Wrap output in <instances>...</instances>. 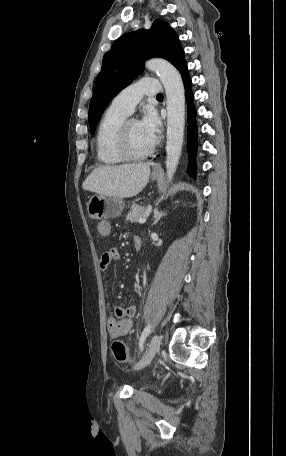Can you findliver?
I'll list each match as a JSON object with an SVG mask.
<instances>
[{
	"label": "liver",
	"mask_w": 286,
	"mask_h": 456,
	"mask_svg": "<svg viewBox=\"0 0 286 456\" xmlns=\"http://www.w3.org/2000/svg\"><path fill=\"white\" fill-rule=\"evenodd\" d=\"M149 176L148 163L100 166L88 175L82 188L99 195L129 198L145 188Z\"/></svg>",
	"instance_id": "obj_1"
}]
</instances>
